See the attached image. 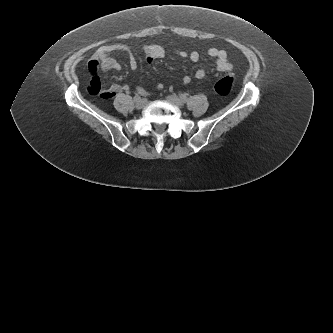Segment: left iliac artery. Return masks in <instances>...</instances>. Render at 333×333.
I'll return each instance as SVG.
<instances>
[{
  "mask_svg": "<svg viewBox=\"0 0 333 333\" xmlns=\"http://www.w3.org/2000/svg\"><path fill=\"white\" fill-rule=\"evenodd\" d=\"M179 96L183 101L187 100V94L186 93H181V94H179Z\"/></svg>",
  "mask_w": 333,
  "mask_h": 333,
  "instance_id": "44dca946",
  "label": "left iliac artery"
}]
</instances>
